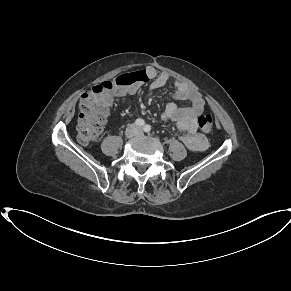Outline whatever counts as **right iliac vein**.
I'll return each mask as SVG.
<instances>
[{"label": "right iliac vein", "instance_id": "1", "mask_svg": "<svg viewBox=\"0 0 291 291\" xmlns=\"http://www.w3.org/2000/svg\"><path fill=\"white\" fill-rule=\"evenodd\" d=\"M136 133H137V129H136V127H135L134 125H131V126H129V127L126 129V131H125V136H126L127 138H131V137L135 136Z\"/></svg>", "mask_w": 291, "mask_h": 291}]
</instances>
